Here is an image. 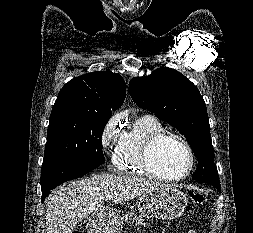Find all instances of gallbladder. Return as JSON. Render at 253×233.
<instances>
[{
    "label": "gallbladder",
    "mask_w": 253,
    "mask_h": 233,
    "mask_svg": "<svg viewBox=\"0 0 253 233\" xmlns=\"http://www.w3.org/2000/svg\"><path fill=\"white\" fill-rule=\"evenodd\" d=\"M85 222H86V219L82 220V221H81V224H82V223H85Z\"/></svg>",
    "instance_id": "obj_1"
}]
</instances>
